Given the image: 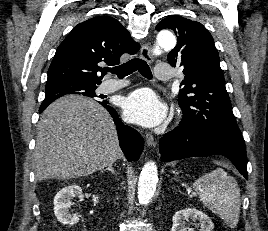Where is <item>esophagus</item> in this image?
Listing matches in <instances>:
<instances>
[{"instance_id":"1","label":"esophagus","mask_w":268,"mask_h":231,"mask_svg":"<svg viewBox=\"0 0 268 231\" xmlns=\"http://www.w3.org/2000/svg\"><path fill=\"white\" fill-rule=\"evenodd\" d=\"M140 57L149 63L152 62L151 49L148 44H145L142 46L141 51H140ZM146 144L148 147L155 146L154 137L151 133L146 134Z\"/></svg>"}]
</instances>
